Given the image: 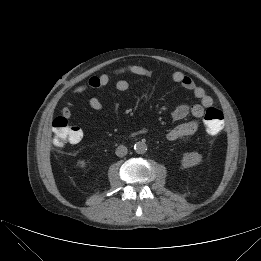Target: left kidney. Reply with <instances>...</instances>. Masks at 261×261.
Here are the masks:
<instances>
[{
    "label": "left kidney",
    "instance_id": "left-kidney-1",
    "mask_svg": "<svg viewBox=\"0 0 261 261\" xmlns=\"http://www.w3.org/2000/svg\"><path fill=\"white\" fill-rule=\"evenodd\" d=\"M201 161L202 155L194 151L190 153H184L181 164L184 168H189L200 164Z\"/></svg>",
    "mask_w": 261,
    "mask_h": 261
}]
</instances>
